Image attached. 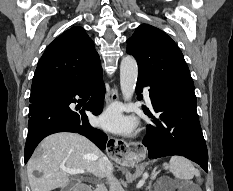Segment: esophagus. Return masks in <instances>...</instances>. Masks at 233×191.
Segmentation results:
<instances>
[{
    "instance_id": "esophagus-1",
    "label": "esophagus",
    "mask_w": 233,
    "mask_h": 191,
    "mask_svg": "<svg viewBox=\"0 0 233 191\" xmlns=\"http://www.w3.org/2000/svg\"><path fill=\"white\" fill-rule=\"evenodd\" d=\"M119 99L117 86H113L106 95V104H110ZM105 150L108 156H112L117 164H128L134 160H140L145 154V148L139 142L126 143L122 139L109 136Z\"/></svg>"
}]
</instances>
